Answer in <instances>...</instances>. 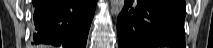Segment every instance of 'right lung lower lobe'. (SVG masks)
Here are the masks:
<instances>
[{
	"instance_id": "98d812e1",
	"label": "right lung lower lobe",
	"mask_w": 213,
	"mask_h": 48,
	"mask_svg": "<svg viewBox=\"0 0 213 48\" xmlns=\"http://www.w3.org/2000/svg\"><path fill=\"white\" fill-rule=\"evenodd\" d=\"M97 0H33V44L85 48Z\"/></svg>"
}]
</instances>
